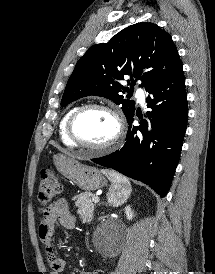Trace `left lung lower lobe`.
Here are the masks:
<instances>
[{
    "mask_svg": "<svg viewBox=\"0 0 215 274\" xmlns=\"http://www.w3.org/2000/svg\"><path fill=\"white\" fill-rule=\"evenodd\" d=\"M146 91L148 120L133 125L135 112L127 118L126 142L117 151L93 162L112 168L149 185L165 197L177 167L187 127L188 106L183 67Z\"/></svg>",
    "mask_w": 215,
    "mask_h": 274,
    "instance_id": "1",
    "label": "left lung lower lobe"
}]
</instances>
